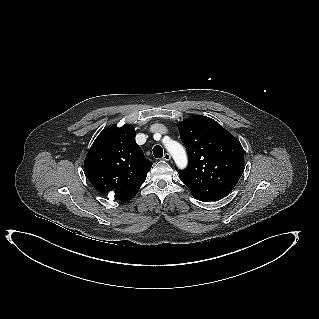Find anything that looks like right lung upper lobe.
<instances>
[{
  "mask_svg": "<svg viewBox=\"0 0 319 319\" xmlns=\"http://www.w3.org/2000/svg\"><path fill=\"white\" fill-rule=\"evenodd\" d=\"M135 135L130 125L110 126L98 135L85 158L84 170L93 187L103 194L114 192L121 202L136 195L152 166Z\"/></svg>",
  "mask_w": 319,
  "mask_h": 319,
  "instance_id": "cb5924a9",
  "label": "right lung upper lobe"
}]
</instances>
